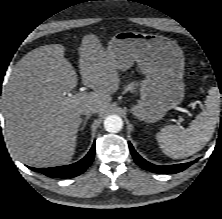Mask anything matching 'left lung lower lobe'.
Instances as JSON below:
<instances>
[{"label":"left lung lower lobe","instance_id":"obj_1","mask_svg":"<svg viewBox=\"0 0 222 219\" xmlns=\"http://www.w3.org/2000/svg\"><path fill=\"white\" fill-rule=\"evenodd\" d=\"M129 148L130 152L135 160V162L142 167L145 170H148L150 172L159 173V174H172V173H178L189 166H191L195 161L188 162V163H182V164H176V165H167V166H158L154 165L145 159H143L133 148L132 144L129 142Z\"/></svg>","mask_w":222,"mask_h":219}]
</instances>
